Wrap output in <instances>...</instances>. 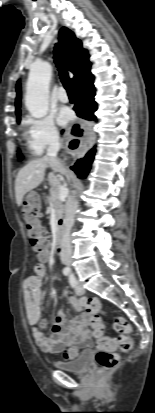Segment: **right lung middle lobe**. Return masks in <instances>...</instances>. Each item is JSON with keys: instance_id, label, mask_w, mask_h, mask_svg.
Wrapping results in <instances>:
<instances>
[{"instance_id": "right-lung-middle-lobe-1", "label": "right lung middle lobe", "mask_w": 155, "mask_h": 413, "mask_svg": "<svg viewBox=\"0 0 155 413\" xmlns=\"http://www.w3.org/2000/svg\"><path fill=\"white\" fill-rule=\"evenodd\" d=\"M17 121L19 122L20 119H18ZM18 156H19V160H22L23 157H22V155H21L20 153H18Z\"/></svg>"}]
</instances>
